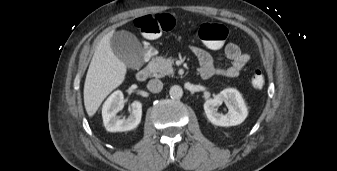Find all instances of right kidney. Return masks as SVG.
I'll use <instances>...</instances> for the list:
<instances>
[{
	"label": "right kidney",
	"mask_w": 337,
	"mask_h": 171,
	"mask_svg": "<svg viewBox=\"0 0 337 171\" xmlns=\"http://www.w3.org/2000/svg\"><path fill=\"white\" fill-rule=\"evenodd\" d=\"M124 96L119 90L113 92L105 101L102 108L103 123L109 132L129 131L138 126L142 117V104L134 101L131 104L130 115L120 119L117 115L124 106Z\"/></svg>",
	"instance_id": "right-kidney-1"
}]
</instances>
